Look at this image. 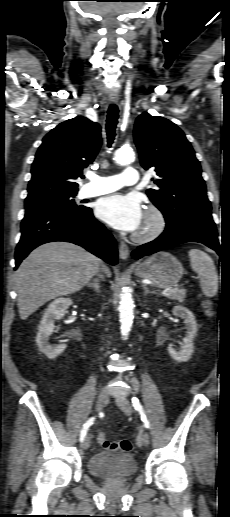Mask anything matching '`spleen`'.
Wrapping results in <instances>:
<instances>
[{
    "label": "spleen",
    "instance_id": "obj_1",
    "mask_svg": "<svg viewBox=\"0 0 230 517\" xmlns=\"http://www.w3.org/2000/svg\"><path fill=\"white\" fill-rule=\"evenodd\" d=\"M190 264L200 277V287L207 297H213L218 291V274L212 258L199 249H191L188 252Z\"/></svg>",
    "mask_w": 230,
    "mask_h": 517
}]
</instances>
